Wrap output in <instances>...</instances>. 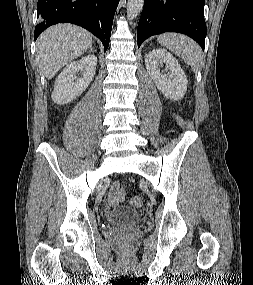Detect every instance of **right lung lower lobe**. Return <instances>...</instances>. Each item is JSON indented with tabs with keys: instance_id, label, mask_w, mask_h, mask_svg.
Returning a JSON list of instances; mask_svg holds the SVG:
<instances>
[{
	"instance_id": "right-lung-lower-lobe-1",
	"label": "right lung lower lobe",
	"mask_w": 253,
	"mask_h": 285,
	"mask_svg": "<svg viewBox=\"0 0 253 285\" xmlns=\"http://www.w3.org/2000/svg\"><path fill=\"white\" fill-rule=\"evenodd\" d=\"M119 0H38L39 22L34 39L56 23H72L98 37L108 48L114 14Z\"/></svg>"
}]
</instances>
